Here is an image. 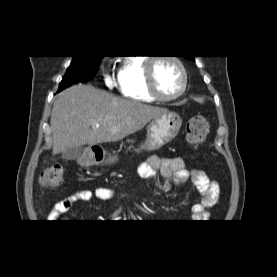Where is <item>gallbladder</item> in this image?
Masks as SVG:
<instances>
[{
	"label": "gallbladder",
	"instance_id": "1",
	"mask_svg": "<svg viewBox=\"0 0 277 277\" xmlns=\"http://www.w3.org/2000/svg\"><path fill=\"white\" fill-rule=\"evenodd\" d=\"M82 152H83L82 146L69 147L62 152V158L66 160H75L82 154Z\"/></svg>",
	"mask_w": 277,
	"mask_h": 277
}]
</instances>
